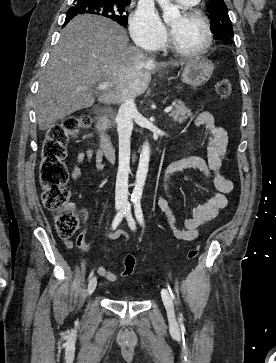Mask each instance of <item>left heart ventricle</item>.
Listing matches in <instances>:
<instances>
[{
  "mask_svg": "<svg viewBox=\"0 0 276 363\" xmlns=\"http://www.w3.org/2000/svg\"><path fill=\"white\" fill-rule=\"evenodd\" d=\"M177 44L186 50H198L206 42L207 34L202 22L179 15L170 24Z\"/></svg>",
  "mask_w": 276,
  "mask_h": 363,
  "instance_id": "left-heart-ventricle-1",
  "label": "left heart ventricle"
}]
</instances>
